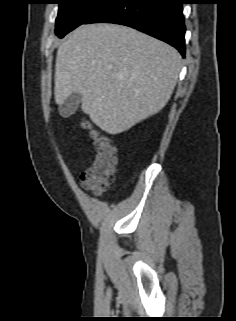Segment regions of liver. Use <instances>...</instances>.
Listing matches in <instances>:
<instances>
[{
  "label": "liver",
  "mask_w": 236,
  "mask_h": 321,
  "mask_svg": "<svg viewBox=\"0 0 236 321\" xmlns=\"http://www.w3.org/2000/svg\"><path fill=\"white\" fill-rule=\"evenodd\" d=\"M180 69L181 55L165 42L122 25H81L58 48L55 102L80 93L100 129L122 133L166 105Z\"/></svg>",
  "instance_id": "liver-1"
}]
</instances>
